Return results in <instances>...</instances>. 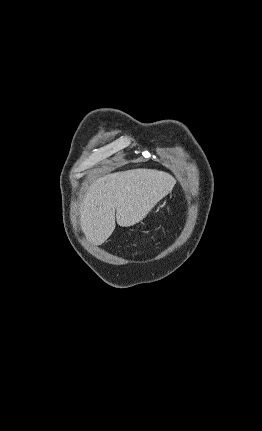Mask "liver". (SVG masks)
<instances>
[{"label":"liver","mask_w":262,"mask_h":431,"mask_svg":"<svg viewBox=\"0 0 262 431\" xmlns=\"http://www.w3.org/2000/svg\"><path fill=\"white\" fill-rule=\"evenodd\" d=\"M176 180L154 169H132L95 180L80 205V224L87 240L104 243L119 226L142 221L153 207L172 192Z\"/></svg>","instance_id":"6515ba94"}]
</instances>
